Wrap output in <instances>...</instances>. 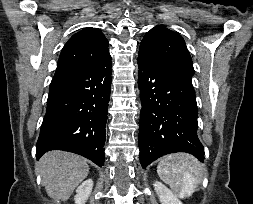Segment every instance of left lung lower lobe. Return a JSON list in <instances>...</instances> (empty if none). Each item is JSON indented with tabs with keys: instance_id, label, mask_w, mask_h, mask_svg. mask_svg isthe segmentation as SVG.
Returning a JSON list of instances; mask_svg holds the SVG:
<instances>
[{
	"instance_id": "1",
	"label": "left lung lower lobe",
	"mask_w": 253,
	"mask_h": 204,
	"mask_svg": "<svg viewBox=\"0 0 253 204\" xmlns=\"http://www.w3.org/2000/svg\"><path fill=\"white\" fill-rule=\"evenodd\" d=\"M139 150L143 168L157 158L187 152L201 162L204 148L197 136V103L191 78L138 55Z\"/></svg>"
}]
</instances>
